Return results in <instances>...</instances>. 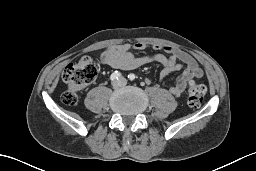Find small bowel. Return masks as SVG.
<instances>
[{"mask_svg":"<svg viewBox=\"0 0 256 171\" xmlns=\"http://www.w3.org/2000/svg\"><path fill=\"white\" fill-rule=\"evenodd\" d=\"M148 45L138 42L134 45L119 44L109 47L102 55V63L116 69L133 70L147 63L157 62L162 66L160 79L163 80L170 72L183 69V73L176 79L169 89L173 96H180L186 88L189 79H200L204 76L194 58L181 49L169 45H153V49L163 53L137 55L132 50L141 51Z\"/></svg>","mask_w":256,"mask_h":171,"instance_id":"1","label":"small bowel"}]
</instances>
